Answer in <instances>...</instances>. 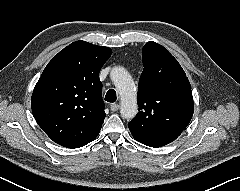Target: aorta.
Returning a JSON list of instances; mask_svg holds the SVG:
<instances>
[{"instance_id": "762f6f07", "label": "aorta", "mask_w": 240, "mask_h": 191, "mask_svg": "<svg viewBox=\"0 0 240 191\" xmlns=\"http://www.w3.org/2000/svg\"><path fill=\"white\" fill-rule=\"evenodd\" d=\"M110 77L121 98L120 113L122 118L133 119L138 112V107L136 88L131 75L125 68L117 66L112 68Z\"/></svg>"}]
</instances>
